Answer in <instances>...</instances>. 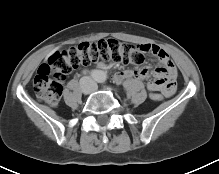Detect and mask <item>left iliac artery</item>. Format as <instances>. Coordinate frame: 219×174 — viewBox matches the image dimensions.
I'll return each instance as SVG.
<instances>
[{"instance_id":"left-iliac-artery-1","label":"left iliac artery","mask_w":219,"mask_h":174,"mask_svg":"<svg viewBox=\"0 0 219 174\" xmlns=\"http://www.w3.org/2000/svg\"><path fill=\"white\" fill-rule=\"evenodd\" d=\"M104 80H105V79H104L103 76H101V77L98 78V82H101V83H102V82H104Z\"/></svg>"}]
</instances>
